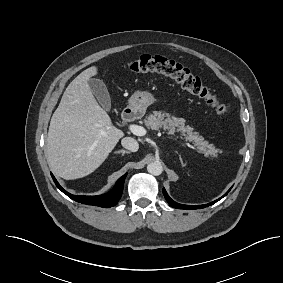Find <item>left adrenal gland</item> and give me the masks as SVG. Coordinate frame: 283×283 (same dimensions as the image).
Returning a JSON list of instances; mask_svg holds the SVG:
<instances>
[{"mask_svg": "<svg viewBox=\"0 0 283 283\" xmlns=\"http://www.w3.org/2000/svg\"><path fill=\"white\" fill-rule=\"evenodd\" d=\"M176 153L178 154V152H176ZM178 156H179V160H180L182 167H184L186 164L183 162L181 155L178 154Z\"/></svg>", "mask_w": 283, "mask_h": 283, "instance_id": "obj_1", "label": "left adrenal gland"}]
</instances>
